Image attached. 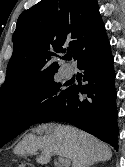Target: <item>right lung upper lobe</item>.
<instances>
[{"instance_id": "right-lung-upper-lobe-1", "label": "right lung upper lobe", "mask_w": 125, "mask_h": 167, "mask_svg": "<svg viewBox=\"0 0 125 167\" xmlns=\"http://www.w3.org/2000/svg\"><path fill=\"white\" fill-rule=\"evenodd\" d=\"M104 29L97 0H41L24 11L13 34V54L0 100L54 77L59 68L56 52H72L78 60L85 46Z\"/></svg>"}]
</instances>
